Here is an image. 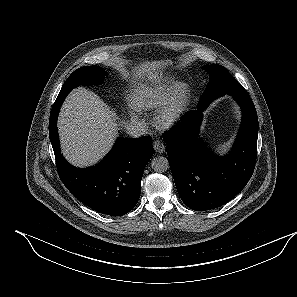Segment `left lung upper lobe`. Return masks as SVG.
I'll return each instance as SVG.
<instances>
[{"mask_svg": "<svg viewBox=\"0 0 297 297\" xmlns=\"http://www.w3.org/2000/svg\"><path fill=\"white\" fill-rule=\"evenodd\" d=\"M203 69L209 74V83L199 104L213 101L225 94L231 96L248 94L225 67L221 65H205Z\"/></svg>", "mask_w": 297, "mask_h": 297, "instance_id": "1", "label": "left lung upper lobe"}]
</instances>
